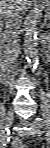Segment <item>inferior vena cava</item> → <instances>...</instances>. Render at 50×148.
I'll use <instances>...</instances> for the list:
<instances>
[{
  "label": "inferior vena cava",
  "instance_id": "inferior-vena-cava-1",
  "mask_svg": "<svg viewBox=\"0 0 50 148\" xmlns=\"http://www.w3.org/2000/svg\"><path fill=\"white\" fill-rule=\"evenodd\" d=\"M3 32L1 34V48L9 64L14 67V61L18 57L20 47L18 43L19 28L21 25L20 9L17 7H7L2 11ZM20 70L14 72V76Z\"/></svg>",
  "mask_w": 50,
  "mask_h": 148
}]
</instances>
